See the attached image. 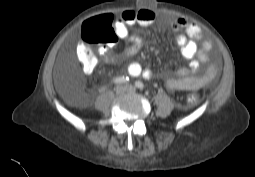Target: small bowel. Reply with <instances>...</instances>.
Returning a JSON list of instances; mask_svg holds the SVG:
<instances>
[{"mask_svg": "<svg viewBox=\"0 0 255 177\" xmlns=\"http://www.w3.org/2000/svg\"><path fill=\"white\" fill-rule=\"evenodd\" d=\"M110 23H113V31L122 40L129 41L130 45L120 54V58H129L136 55L141 47L142 40L139 36L132 34L129 27L134 25L149 26L159 20L157 12L150 8L140 10H126L120 17L113 21V16L105 15ZM171 30L176 33V44L180 48L181 55L189 63L185 68H180L172 76L166 77V87L171 91H194L199 90L208 84L215 76L216 68L211 65L203 75H196L200 65L209 60L213 44L210 40L202 41L199 46L197 40L201 39V28L183 18H173L169 21ZM82 46H80L81 48ZM79 48V50H80ZM103 57L106 62L114 61L115 57L107 50H103ZM95 66L87 67L82 63L84 72L90 73ZM128 73L133 77H152V72L144 69L139 63L131 62L127 66Z\"/></svg>", "mask_w": 255, "mask_h": 177, "instance_id": "1", "label": "small bowel"}]
</instances>
